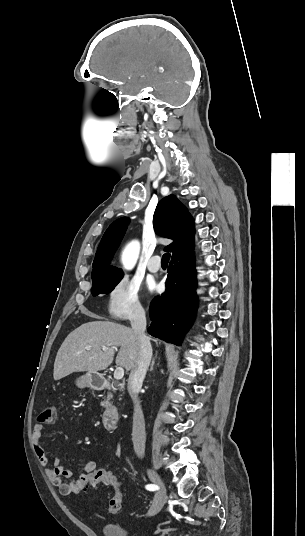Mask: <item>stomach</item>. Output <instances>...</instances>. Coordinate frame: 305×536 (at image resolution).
<instances>
[{
  "label": "stomach",
  "mask_w": 305,
  "mask_h": 536,
  "mask_svg": "<svg viewBox=\"0 0 305 536\" xmlns=\"http://www.w3.org/2000/svg\"><path fill=\"white\" fill-rule=\"evenodd\" d=\"M103 384L104 380L98 376L97 372L96 374H94V372H88V374L80 376V378H77L76 380L77 388H100Z\"/></svg>",
  "instance_id": "stomach-1"
}]
</instances>
